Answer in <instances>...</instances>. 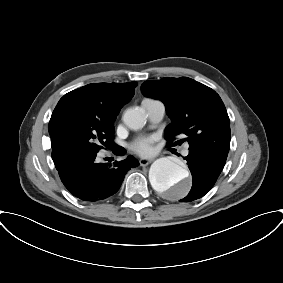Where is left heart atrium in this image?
<instances>
[{
    "label": "left heart atrium",
    "instance_id": "1",
    "mask_svg": "<svg viewBox=\"0 0 283 283\" xmlns=\"http://www.w3.org/2000/svg\"><path fill=\"white\" fill-rule=\"evenodd\" d=\"M155 140L156 138L154 136L138 139L131 145V149L140 156L143 157L152 156L155 152L153 146Z\"/></svg>",
    "mask_w": 283,
    "mask_h": 283
}]
</instances>
